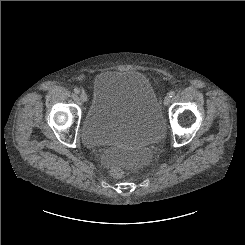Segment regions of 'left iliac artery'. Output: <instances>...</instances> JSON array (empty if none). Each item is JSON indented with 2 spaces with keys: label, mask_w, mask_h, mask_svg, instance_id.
<instances>
[{
  "label": "left iliac artery",
  "mask_w": 245,
  "mask_h": 245,
  "mask_svg": "<svg viewBox=\"0 0 245 245\" xmlns=\"http://www.w3.org/2000/svg\"><path fill=\"white\" fill-rule=\"evenodd\" d=\"M168 95H169V97H173V96L175 95V92H174V91H170V92L168 93Z\"/></svg>",
  "instance_id": "left-iliac-artery-1"
}]
</instances>
